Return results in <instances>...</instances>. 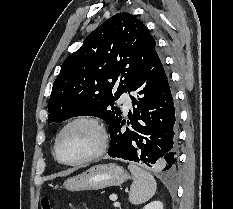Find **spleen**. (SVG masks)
Instances as JSON below:
<instances>
[{"label":"spleen","instance_id":"spleen-1","mask_svg":"<svg viewBox=\"0 0 233 209\" xmlns=\"http://www.w3.org/2000/svg\"><path fill=\"white\" fill-rule=\"evenodd\" d=\"M128 169L133 175L129 201L135 205L147 202L155 194L157 187L155 178L134 164H130Z\"/></svg>","mask_w":233,"mask_h":209}]
</instances>
